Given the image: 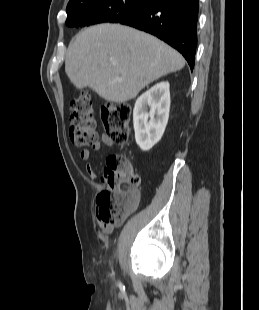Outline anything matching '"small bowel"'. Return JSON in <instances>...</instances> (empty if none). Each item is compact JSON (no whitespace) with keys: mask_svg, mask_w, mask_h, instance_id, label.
<instances>
[{"mask_svg":"<svg viewBox=\"0 0 259 310\" xmlns=\"http://www.w3.org/2000/svg\"><path fill=\"white\" fill-rule=\"evenodd\" d=\"M112 145H113V141L111 139H109L107 136L102 135L100 137L99 143L96 146H94L92 148V150L98 151L103 146H108L109 147V146H112ZM92 150L91 149H83V150L80 151L79 156H80V158L83 161L87 162L86 166H85V169H86V172H87L88 176L90 178H92V179H95L96 176H97V173H96L94 167L90 163H88V161H89V159L91 157V151ZM100 227H101V229H102V231L104 233L111 232V230L113 228L112 225H103V224H100Z\"/></svg>","mask_w":259,"mask_h":310,"instance_id":"1","label":"small bowel"}]
</instances>
